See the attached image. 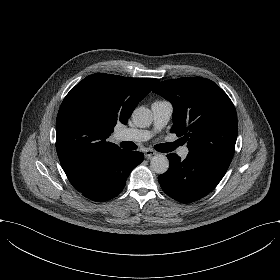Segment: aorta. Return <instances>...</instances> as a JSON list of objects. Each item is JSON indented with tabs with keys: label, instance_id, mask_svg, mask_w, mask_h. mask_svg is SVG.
I'll return each mask as SVG.
<instances>
[{
	"label": "aorta",
	"instance_id": "obj_1",
	"mask_svg": "<svg viewBox=\"0 0 280 280\" xmlns=\"http://www.w3.org/2000/svg\"><path fill=\"white\" fill-rule=\"evenodd\" d=\"M132 121L139 128H145L152 123L151 111L146 107H137L132 113ZM169 160L164 155H155L151 159L150 169L152 172L161 175L168 171Z\"/></svg>",
	"mask_w": 280,
	"mask_h": 280
}]
</instances>
